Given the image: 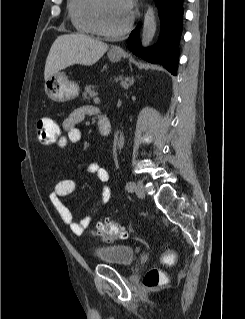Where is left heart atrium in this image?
Masks as SVG:
<instances>
[{"mask_svg":"<svg viewBox=\"0 0 245 319\" xmlns=\"http://www.w3.org/2000/svg\"><path fill=\"white\" fill-rule=\"evenodd\" d=\"M120 8L125 12L130 14L133 8V0H117Z\"/></svg>","mask_w":245,"mask_h":319,"instance_id":"39dd6f15","label":"left heart atrium"}]
</instances>
